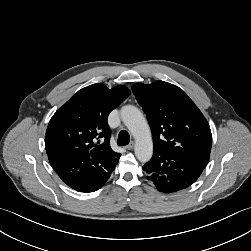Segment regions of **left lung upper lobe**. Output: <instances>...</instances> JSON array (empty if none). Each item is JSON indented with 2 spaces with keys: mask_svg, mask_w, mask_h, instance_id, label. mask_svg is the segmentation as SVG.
Masks as SVG:
<instances>
[{
  "mask_svg": "<svg viewBox=\"0 0 251 251\" xmlns=\"http://www.w3.org/2000/svg\"><path fill=\"white\" fill-rule=\"evenodd\" d=\"M132 91L147 115L154 151L209 160L212 146L210 126L182 89L155 81L149 85L134 84Z\"/></svg>",
  "mask_w": 251,
  "mask_h": 251,
  "instance_id": "1",
  "label": "left lung upper lobe"
}]
</instances>
